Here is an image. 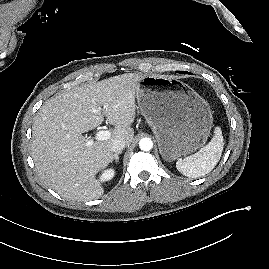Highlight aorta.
I'll use <instances>...</instances> for the list:
<instances>
[{
	"mask_svg": "<svg viewBox=\"0 0 269 269\" xmlns=\"http://www.w3.org/2000/svg\"><path fill=\"white\" fill-rule=\"evenodd\" d=\"M139 147L143 151H150L153 148V142L150 138H142L139 141Z\"/></svg>",
	"mask_w": 269,
	"mask_h": 269,
	"instance_id": "obj_1",
	"label": "aorta"
}]
</instances>
